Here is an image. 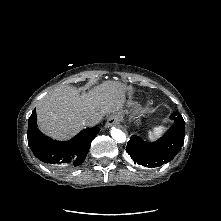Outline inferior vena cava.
<instances>
[{"label": "inferior vena cava", "mask_w": 221, "mask_h": 221, "mask_svg": "<svg viewBox=\"0 0 221 221\" xmlns=\"http://www.w3.org/2000/svg\"><path fill=\"white\" fill-rule=\"evenodd\" d=\"M99 122V119L96 117H89L84 121L86 126H95Z\"/></svg>", "instance_id": "1"}]
</instances>
